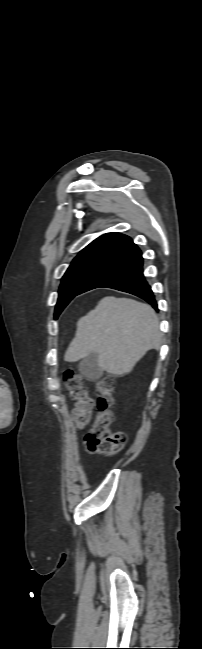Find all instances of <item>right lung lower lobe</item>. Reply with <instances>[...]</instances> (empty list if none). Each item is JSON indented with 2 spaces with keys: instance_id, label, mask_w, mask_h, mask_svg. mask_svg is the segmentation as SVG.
<instances>
[{
  "instance_id": "right-lung-lower-lobe-1",
  "label": "right lung lower lobe",
  "mask_w": 202,
  "mask_h": 649,
  "mask_svg": "<svg viewBox=\"0 0 202 649\" xmlns=\"http://www.w3.org/2000/svg\"><path fill=\"white\" fill-rule=\"evenodd\" d=\"M98 287L131 293L157 309L155 295L143 275V257L137 246L111 259L90 278L79 294Z\"/></svg>"
}]
</instances>
